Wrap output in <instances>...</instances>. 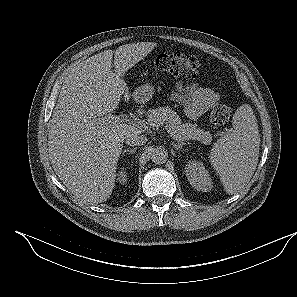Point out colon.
<instances>
[{"label":"colon","mask_w":297,"mask_h":297,"mask_svg":"<svg viewBox=\"0 0 297 297\" xmlns=\"http://www.w3.org/2000/svg\"><path fill=\"white\" fill-rule=\"evenodd\" d=\"M155 67L167 74L194 78L200 70L197 57L182 52L161 54L155 61ZM232 108L226 102H218L210 114V124L213 129L223 127L231 118Z\"/></svg>","instance_id":"5ec220e1"}]
</instances>
